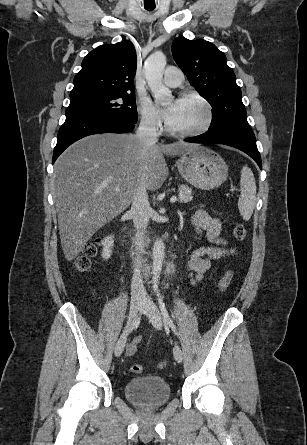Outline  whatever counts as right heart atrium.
I'll return each mask as SVG.
<instances>
[{
	"instance_id": "right-heart-atrium-1",
	"label": "right heart atrium",
	"mask_w": 307,
	"mask_h": 445,
	"mask_svg": "<svg viewBox=\"0 0 307 445\" xmlns=\"http://www.w3.org/2000/svg\"><path fill=\"white\" fill-rule=\"evenodd\" d=\"M139 110L142 126L151 133L159 131L162 126V120L158 111L145 100L140 102Z\"/></svg>"
}]
</instances>
